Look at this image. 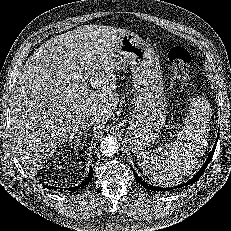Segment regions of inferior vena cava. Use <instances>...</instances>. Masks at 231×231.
Segmentation results:
<instances>
[{
    "instance_id": "obj_1",
    "label": "inferior vena cava",
    "mask_w": 231,
    "mask_h": 231,
    "mask_svg": "<svg viewBox=\"0 0 231 231\" xmlns=\"http://www.w3.org/2000/svg\"><path fill=\"white\" fill-rule=\"evenodd\" d=\"M96 123V118L90 116H84L81 120L80 127L81 128H88Z\"/></svg>"
}]
</instances>
